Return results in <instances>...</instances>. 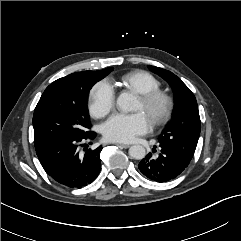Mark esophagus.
<instances>
[{"instance_id": "esophagus-1", "label": "esophagus", "mask_w": 241, "mask_h": 241, "mask_svg": "<svg viewBox=\"0 0 241 241\" xmlns=\"http://www.w3.org/2000/svg\"><path fill=\"white\" fill-rule=\"evenodd\" d=\"M117 145L123 147V148H129L130 145L129 144H121V143H118Z\"/></svg>"}]
</instances>
